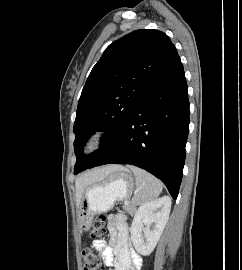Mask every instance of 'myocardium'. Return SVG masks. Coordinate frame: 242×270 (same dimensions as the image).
<instances>
[{"mask_svg": "<svg viewBox=\"0 0 242 270\" xmlns=\"http://www.w3.org/2000/svg\"><path fill=\"white\" fill-rule=\"evenodd\" d=\"M107 132L104 129H96L86 137L82 151L85 155H90L98 151L105 143Z\"/></svg>", "mask_w": 242, "mask_h": 270, "instance_id": "1", "label": "myocardium"}]
</instances>
